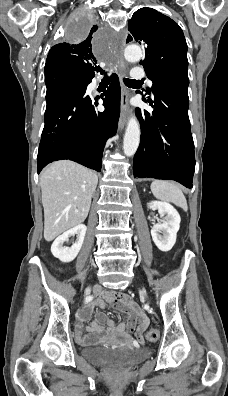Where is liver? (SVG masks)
<instances>
[{"mask_svg":"<svg viewBox=\"0 0 228 396\" xmlns=\"http://www.w3.org/2000/svg\"><path fill=\"white\" fill-rule=\"evenodd\" d=\"M97 183L98 177L93 171L70 160L56 161L42 172L46 241L85 221Z\"/></svg>","mask_w":228,"mask_h":396,"instance_id":"liver-1","label":"liver"}]
</instances>
